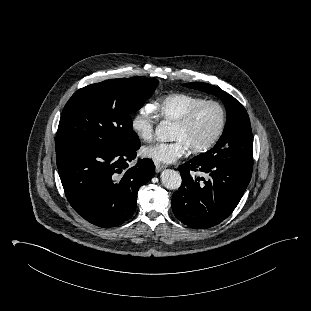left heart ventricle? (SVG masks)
<instances>
[{
  "label": "left heart ventricle",
  "instance_id": "1",
  "mask_svg": "<svg viewBox=\"0 0 311 311\" xmlns=\"http://www.w3.org/2000/svg\"><path fill=\"white\" fill-rule=\"evenodd\" d=\"M220 114L216 107H204L186 128L173 126L172 139L184 141L189 148L206 143L219 125Z\"/></svg>",
  "mask_w": 311,
  "mask_h": 311
}]
</instances>
